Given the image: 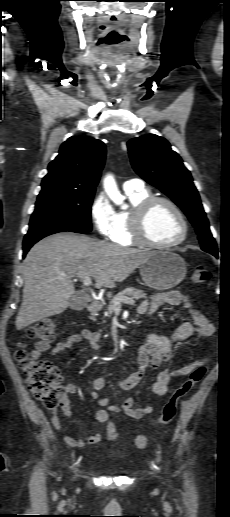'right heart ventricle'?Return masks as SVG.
<instances>
[{
	"instance_id": "1",
	"label": "right heart ventricle",
	"mask_w": 230,
	"mask_h": 517,
	"mask_svg": "<svg viewBox=\"0 0 230 517\" xmlns=\"http://www.w3.org/2000/svg\"><path fill=\"white\" fill-rule=\"evenodd\" d=\"M125 192L131 202V208L117 213L116 229L111 240L121 246H134L137 243L132 236V213L138 204L151 196V192L146 188Z\"/></svg>"
}]
</instances>
